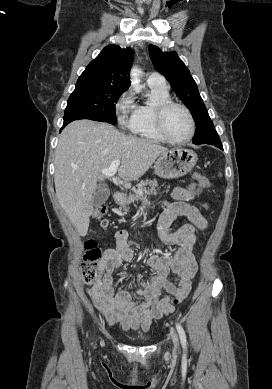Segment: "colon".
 <instances>
[{
	"label": "colon",
	"mask_w": 272,
	"mask_h": 389,
	"mask_svg": "<svg viewBox=\"0 0 272 389\" xmlns=\"http://www.w3.org/2000/svg\"><path fill=\"white\" fill-rule=\"evenodd\" d=\"M195 184H193V190L206 189L209 187V180L206 176L195 173L194 176ZM203 206L206 208L209 204L206 201H203ZM106 207L99 206L95 211V218L102 220V224L106 225V221L103 219L106 214ZM102 253L97 244L94 241H88L85 243V256L82 264V281L86 285H91L94 283L97 274V267L101 259ZM182 302L181 298H174L173 305H178Z\"/></svg>",
	"instance_id": "5ec220e1"
}]
</instances>
